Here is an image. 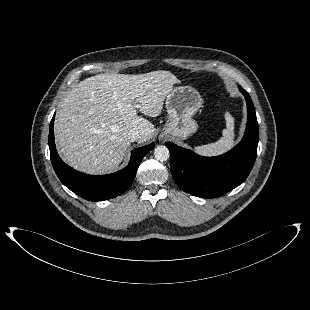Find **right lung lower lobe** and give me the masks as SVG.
Wrapping results in <instances>:
<instances>
[{
	"label": "right lung lower lobe",
	"instance_id": "1",
	"mask_svg": "<svg viewBox=\"0 0 310 310\" xmlns=\"http://www.w3.org/2000/svg\"><path fill=\"white\" fill-rule=\"evenodd\" d=\"M54 117L50 123L48 141L53 168L67 188L89 201L107 200L124 193L133 182L143 157L154 148L152 143L134 149L129 164L118 172L102 176L83 174L69 167L59 157L54 143Z\"/></svg>",
	"mask_w": 310,
	"mask_h": 310
}]
</instances>
